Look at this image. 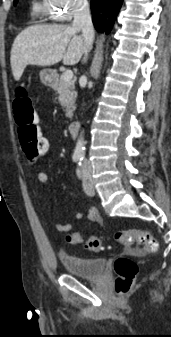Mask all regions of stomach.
Instances as JSON below:
<instances>
[{
	"mask_svg": "<svg viewBox=\"0 0 171 337\" xmlns=\"http://www.w3.org/2000/svg\"><path fill=\"white\" fill-rule=\"evenodd\" d=\"M40 79L44 84H53L57 80L56 71L53 69H43L40 72Z\"/></svg>",
	"mask_w": 171,
	"mask_h": 337,
	"instance_id": "obj_1",
	"label": "stomach"
}]
</instances>
